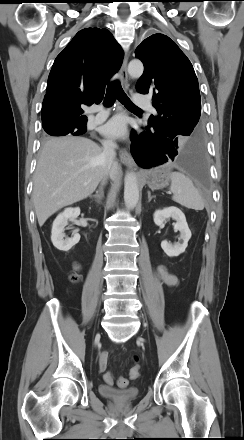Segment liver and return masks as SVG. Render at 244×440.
<instances>
[{
    "mask_svg": "<svg viewBox=\"0 0 244 440\" xmlns=\"http://www.w3.org/2000/svg\"><path fill=\"white\" fill-rule=\"evenodd\" d=\"M102 148L85 137H59L47 141L33 178L32 200L40 226L61 208L90 196L104 176ZM116 179L120 166L112 164Z\"/></svg>",
    "mask_w": 244,
    "mask_h": 440,
    "instance_id": "liver-1",
    "label": "liver"
}]
</instances>
